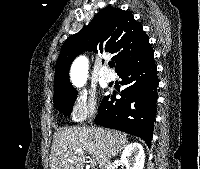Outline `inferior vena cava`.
Returning a JSON list of instances; mask_svg holds the SVG:
<instances>
[{"mask_svg":"<svg viewBox=\"0 0 200 169\" xmlns=\"http://www.w3.org/2000/svg\"><path fill=\"white\" fill-rule=\"evenodd\" d=\"M111 166H112L111 162H110V161H108V162H107L106 169H111Z\"/></svg>","mask_w":200,"mask_h":169,"instance_id":"obj_1","label":"inferior vena cava"}]
</instances>
